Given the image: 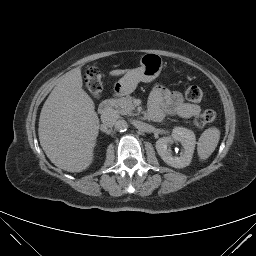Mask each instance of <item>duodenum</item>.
<instances>
[{"label":"duodenum","mask_w":256,"mask_h":256,"mask_svg":"<svg viewBox=\"0 0 256 256\" xmlns=\"http://www.w3.org/2000/svg\"><path fill=\"white\" fill-rule=\"evenodd\" d=\"M121 95V92L117 91L114 94V97ZM114 97L108 98L106 100H104L103 102H101V104L99 105L98 111L100 114H107L113 105L114 102Z\"/></svg>","instance_id":"410a0bca"}]
</instances>
